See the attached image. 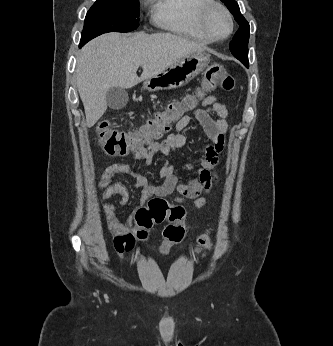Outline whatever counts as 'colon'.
<instances>
[{"label":"colon","mask_w":333,"mask_h":346,"mask_svg":"<svg viewBox=\"0 0 333 346\" xmlns=\"http://www.w3.org/2000/svg\"><path fill=\"white\" fill-rule=\"evenodd\" d=\"M233 87L232 76L221 66L212 64L208 67L202 87L203 91L215 89L230 91ZM197 101V94H188L179 101L169 102L164 109L155 112L138 128L130 131L118 130L112 127L108 121H102L97 130L99 144L109 155L122 156L141 150L167 133L172 124L179 120L185 112L195 108ZM184 217L185 210L179 205H172L164 199L149 200L146 205L140 206L136 210V229L133 233L135 242L146 239L148 230L154 225L168 221L170 224L164 230L161 249L166 251L172 246L180 244L185 237ZM211 247V237L208 234L200 236L197 252L202 254Z\"/></svg>","instance_id":"obj_1"}]
</instances>
